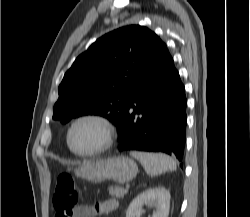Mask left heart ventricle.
<instances>
[{"instance_id":"obj_1","label":"left heart ventricle","mask_w":250,"mask_h":217,"mask_svg":"<svg viewBox=\"0 0 250 217\" xmlns=\"http://www.w3.org/2000/svg\"><path fill=\"white\" fill-rule=\"evenodd\" d=\"M102 136V129L97 123L84 121L74 128L71 142L75 149L89 151L95 149L101 143Z\"/></svg>"}]
</instances>
